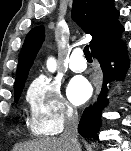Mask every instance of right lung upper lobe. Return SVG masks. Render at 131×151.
I'll return each instance as SVG.
<instances>
[{
  "label": "right lung upper lobe",
  "mask_w": 131,
  "mask_h": 151,
  "mask_svg": "<svg viewBox=\"0 0 131 151\" xmlns=\"http://www.w3.org/2000/svg\"><path fill=\"white\" fill-rule=\"evenodd\" d=\"M113 2L114 0H73L72 18L92 36L91 51L124 29L118 21L119 11L115 9ZM44 38L43 25L34 27L26 36L18 61L14 90L24 87Z\"/></svg>",
  "instance_id": "obj_1"
}]
</instances>
